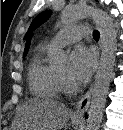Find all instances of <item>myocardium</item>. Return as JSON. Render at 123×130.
<instances>
[{
	"instance_id": "myocardium-1",
	"label": "myocardium",
	"mask_w": 123,
	"mask_h": 130,
	"mask_svg": "<svg viewBox=\"0 0 123 130\" xmlns=\"http://www.w3.org/2000/svg\"><path fill=\"white\" fill-rule=\"evenodd\" d=\"M58 75H59V78H60L61 81H65L66 80L65 76L61 75L60 73H58Z\"/></svg>"
}]
</instances>
